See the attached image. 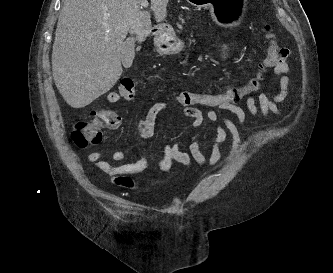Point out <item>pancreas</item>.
Returning <instances> with one entry per match:
<instances>
[{
  "mask_svg": "<svg viewBox=\"0 0 333 273\" xmlns=\"http://www.w3.org/2000/svg\"><path fill=\"white\" fill-rule=\"evenodd\" d=\"M180 20L182 21V23H184V20L182 18H180ZM177 27L182 30V26L181 25L177 24Z\"/></svg>",
  "mask_w": 333,
  "mask_h": 273,
  "instance_id": "pancreas-1",
  "label": "pancreas"
}]
</instances>
